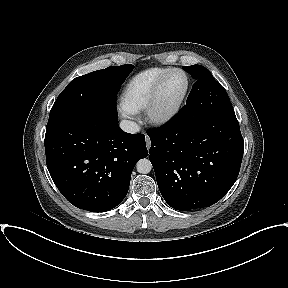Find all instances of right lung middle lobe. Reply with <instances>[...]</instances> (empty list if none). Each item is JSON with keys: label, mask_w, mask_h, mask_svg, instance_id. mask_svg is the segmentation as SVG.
Masks as SVG:
<instances>
[{"label": "right lung middle lobe", "mask_w": 288, "mask_h": 288, "mask_svg": "<svg viewBox=\"0 0 288 288\" xmlns=\"http://www.w3.org/2000/svg\"><path fill=\"white\" fill-rule=\"evenodd\" d=\"M133 68L131 64L110 66L73 79L55 101L46 129L84 115L117 118L116 95Z\"/></svg>", "instance_id": "dd1d6c3e"}]
</instances>
